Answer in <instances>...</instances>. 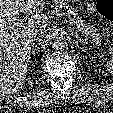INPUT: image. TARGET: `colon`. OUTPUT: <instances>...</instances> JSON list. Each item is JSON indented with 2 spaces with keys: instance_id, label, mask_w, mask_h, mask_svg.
<instances>
[{
  "instance_id": "obj_1",
  "label": "colon",
  "mask_w": 113,
  "mask_h": 113,
  "mask_svg": "<svg viewBox=\"0 0 113 113\" xmlns=\"http://www.w3.org/2000/svg\"><path fill=\"white\" fill-rule=\"evenodd\" d=\"M96 10L102 18L113 23V0H98Z\"/></svg>"
}]
</instances>
